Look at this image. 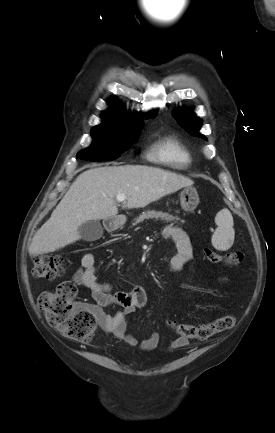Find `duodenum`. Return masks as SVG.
Returning a JSON list of instances; mask_svg holds the SVG:
<instances>
[{
  "mask_svg": "<svg viewBox=\"0 0 275 433\" xmlns=\"http://www.w3.org/2000/svg\"><path fill=\"white\" fill-rule=\"evenodd\" d=\"M104 226L109 232H113L118 228L117 222L114 219H106Z\"/></svg>",
  "mask_w": 275,
  "mask_h": 433,
  "instance_id": "1",
  "label": "duodenum"
}]
</instances>
